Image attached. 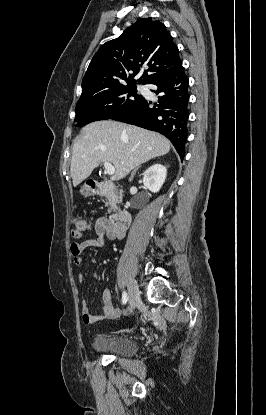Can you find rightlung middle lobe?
Masks as SVG:
<instances>
[{"instance_id": "dd1d6c3e", "label": "right lung middle lobe", "mask_w": 266, "mask_h": 415, "mask_svg": "<svg viewBox=\"0 0 266 415\" xmlns=\"http://www.w3.org/2000/svg\"><path fill=\"white\" fill-rule=\"evenodd\" d=\"M142 100L143 97L137 94L136 85H124L81 98L76 105L74 121L80 127L94 121L111 119L136 106Z\"/></svg>"}]
</instances>
